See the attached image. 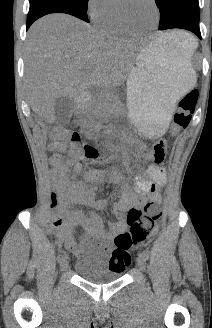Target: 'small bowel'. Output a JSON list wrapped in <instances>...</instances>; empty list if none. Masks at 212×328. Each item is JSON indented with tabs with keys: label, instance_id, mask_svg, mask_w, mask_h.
Here are the masks:
<instances>
[{
	"label": "small bowel",
	"instance_id": "obj_1",
	"mask_svg": "<svg viewBox=\"0 0 212 328\" xmlns=\"http://www.w3.org/2000/svg\"><path fill=\"white\" fill-rule=\"evenodd\" d=\"M49 149L56 151L49 162L52 166L51 174L56 183L61 188V201L64 205H88L94 209L89 213L82 210H70L68 222H63L57 228H66L79 225L85 230L81 237L78 252L89 251L92 257L101 266L107 265L109 269L123 271L117 262L110 264L107 253L110 249V242L120 233L125 232L128 222L125 213L131 208H140L146 201H160V191L166 180V170L163 166L152 165L149 167L144 178L135 179L129 183L125 176L116 171L91 170L86 172L81 178V165L78 159L82 156L75 146L70 147L71 159H65L61 152L65 151V146L50 144ZM103 181L117 183L121 186V197L113 203L111 210L115 216V221L105 226L103 218L97 211H102L107 204L104 200L95 198V184Z\"/></svg>",
	"mask_w": 212,
	"mask_h": 328
}]
</instances>
